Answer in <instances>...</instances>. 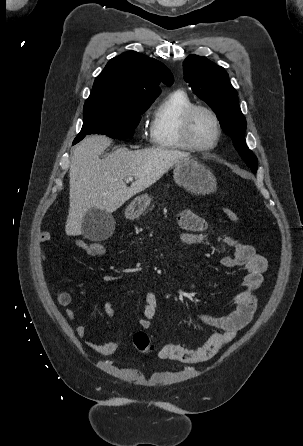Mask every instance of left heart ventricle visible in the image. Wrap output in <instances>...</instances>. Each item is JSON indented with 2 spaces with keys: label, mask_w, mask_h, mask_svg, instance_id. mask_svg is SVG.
Returning <instances> with one entry per match:
<instances>
[{
  "label": "left heart ventricle",
  "mask_w": 303,
  "mask_h": 446,
  "mask_svg": "<svg viewBox=\"0 0 303 446\" xmlns=\"http://www.w3.org/2000/svg\"><path fill=\"white\" fill-rule=\"evenodd\" d=\"M190 134L196 145H211L216 137V128L212 118L204 111H197L191 121Z\"/></svg>",
  "instance_id": "obj_1"
}]
</instances>
